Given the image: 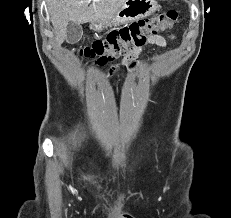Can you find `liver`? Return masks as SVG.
I'll return each mask as SVG.
<instances>
[{
	"label": "liver",
	"instance_id": "liver-1",
	"mask_svg": "<svg viewBox=\"0 0 231 218\" xmlns=\"http://www.w3.org/2000/svg\"><path fill=\"white\" fill-rule=\"evenodd\" d=\"M92 1L90 6L89 3ZM126 0H47L55 39L61 45L67 37L69 22L77 24L109 21Z\"/></svg>",
	"mask_w": 231,
	"mask_h": 218
}]
</instances>
